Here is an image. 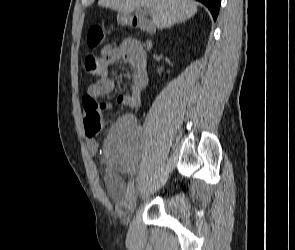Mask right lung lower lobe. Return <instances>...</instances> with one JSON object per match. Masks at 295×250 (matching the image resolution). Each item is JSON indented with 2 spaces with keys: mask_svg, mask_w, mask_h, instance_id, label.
Here are the masks:
<instances>
[{
  "mask_svg": "<svg viewBox=\"0 0 295 250\" xmlns=\"http://www.w3.org/2000/svg\"><path fill=\"white\" fill-rule=\"evenodd\" d=\"M198 1L202 2L203 4H205L209 8L214 20H216V18L218 16L219 8H220L221 0H198Z\"/></svg>",
  "mask_w": 295,
  "mask_h": 250,
  "instance_id": "98d812e1",
  "label": "right lung lower lobe"
}]
</instances>
